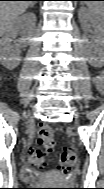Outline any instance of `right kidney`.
<instances>
[{
	"label": "right kidney",
	"instance_id": "ca27d5eb",
	"mask_svg": "<svg viewBox=\"0 0 104 189\" xmlns=\"http://www.w3.org/2000/svg\"><path fill=\"white\" fill-rule=\"evenodd\" d=\"M36 16L33 13H26L17 18L9 30L2 35L0 39V62L7 69L16 68L20 61V48L25 47L29 41V37H23L17 43L12 44L18 33L24 29L33 28L35 26Z\"/></svg>",
	"mask_w": 104,
	"mask_h": 189
}]
</instances>
